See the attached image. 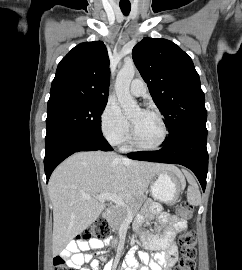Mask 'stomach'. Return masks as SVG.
<instances>
[{
  "mask_svg": "<svg viewBox=\"0 0 242 270\" xmlns=\"http://www.w3.org/2000/svg\"><path fill=\"white\" fill-rule=\"evenodd\" d=\"M185 187L182 174L172 171H162L152 182L151 194L154 199L165 203H174Z\"/></svg>",
  "mask_w": 242,
  "mask_h": 270,
  "instance_id": "stomach-1",
  "label": "stomach"
}]
</instances>
